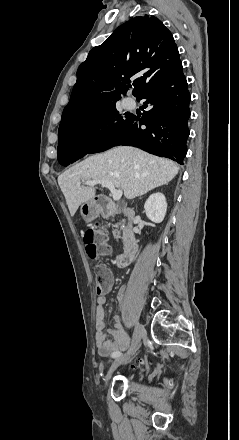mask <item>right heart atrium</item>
I'll list each match as a JSON object with an SVG mask.
<instances>
[{
    "mask_svg": "<svg viewBox=\"0 0 239 440\" xmlns=\"http://www.w3.org/2000/svg\"><path fill=\"white\" fill-rule=\"evenodd\" d=\"M104 134H105V131H104L103 127H98L93 132L94 137H102Z\"/></svg>",
    "mask_w": 239,
    "mask_h": 440,
    "instance_id": "1",
    "label": "right heart atrium"
}]
</instances>
